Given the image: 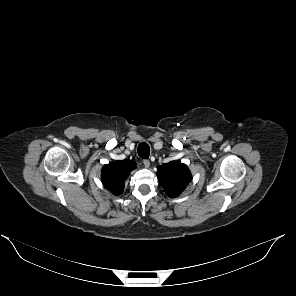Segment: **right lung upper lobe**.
Listing matches in <instances>:
<instances>
[{"label": "right lung upper lobe", "instance_id": "obj_1", "mask_svg": "<svg viewBox=\"0 0 296 296\" xmlns=\"http://www.w3.org/2000/svg\"><path fill=\"white\" fill-rule=\"evenodd\" d=\"M136 168V164L129 159L114 161L105 165L101 173V181L106 189L114 195H119L124 189V181L130 171Z\"/></svg>", "mask_w": 296, "mask_h": 296}]
</instances>
